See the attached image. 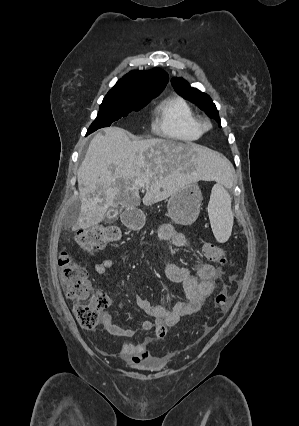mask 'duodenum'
Wrapping results in <instances>:
<instances>
[{"instance_id":"1","label":"duodenum","mask_w":299,"mask_h":426,"mask_svg":"<svg viewBox=\"0 0 299 426\" xmlns=\"http://www.w3.org/2000/svg\"><path fill=\"white\" fill-rule=\"evenodd\" d=\"M124 222L128 225L133 224L135 222V215L133 212H129L124 216Z\"/></svg>"}]
</instances>
